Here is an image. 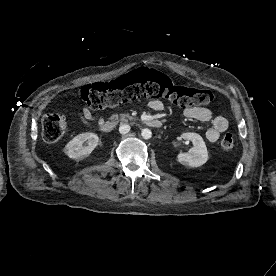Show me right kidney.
I'll return each mask as SVG.
<instances>
[{
    "mask_svg": "<svg viewBox=\"0 0 276 276\" xmlns=\"http://www.w3.org/2000/svg\"><path fill=\"white\" fill-rule=\"evenodd\" d=\"M99 137L92 132H86L75 136L64 148L65 154L75 160H81L89 156L98 145ZM87 145L84 146L83 144Z\"/></svg>",
    "mask_w": 276,
    "mask_h": 276,
    "instance_id": "1",
    "label": "right kidney"
}]
</instances>
